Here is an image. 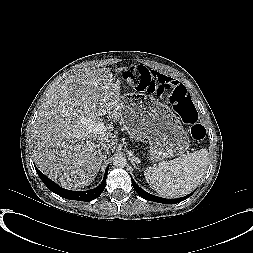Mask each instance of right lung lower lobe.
Listing matches in <instances>:
<instances>
[{"mask_svg": "<svg viewBox=\"0 0 253 253\" xmlns=\"http://www.w3.org/2000/svg\"><path fill=\"white\" fill-rule=\"evenodd\" d=\"M39 177L43 181V183L54 193L57 195L70 199V200H79V201H91L97 198L105 189L106 186V178L108 174V167L106 168L104 178L102 180V183L95 189L88 190V191H70L63 189L56 183H54L52 180H50L48 177H46L44 174H42L36 167H35Z\"/></svg>", "mask_w": 253, "mask_h": 253, "instance_id": "98d812e1", "label": "right lung lower lobe"}]
</instances>
